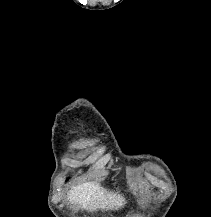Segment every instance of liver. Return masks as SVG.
I'll use <instances>...</instances> for the list:
<instances>
[{
	"label": "liver",
	"mask_w": 211,
	"mask_h": 217,
	"mask_svg": "<svg viewBox=\"0 0 211 217\" xmlns=\"http://www.w3.org/2000/svg\"><path fill=\"white\" fill-rule=\"evenodd\" d=\"M71 204H78L84 209H118L126 203L122 195L108 193L99 184L85 182L73 187L68 193Z\"/></svg>",
	"instance_id": "obj_1"
}]
</instances>
